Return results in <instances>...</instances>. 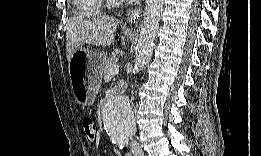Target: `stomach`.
<instances>
[{
    "mask_svg": "<svg viewBox=\"0 0 261 156\" xmlns=\"http://www.w3.org/2000/svg\"><path fill=\"white\" fill-rule=\"evenodd\" d=\"M106 56L87 49L76 50L70 60V79L76 101L83 106L94 103L102 78L101 69ZM84 60V65L79 67V62Z\"/></svg>",
    "mask_w": 261,
    "mask_h": 156,
    "instance_id": "1",
    "label": "stomach"
}]
</instances>
